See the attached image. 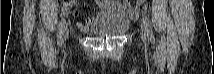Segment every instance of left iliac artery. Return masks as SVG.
<instances>
[{"instance_id":"left-iliac-artery-1","label":"left iliac artery","mask_w":214,"mask_h":74,"mask_svg":"<svg viewBox=\"0 0 214 74\" xmlns=\"http://www.w3.org/2000/svg\"><path fill=\"white\" fill-rule=\"evenodd\" d=\"M144 23L148 27V35H149L150 41L152 42V41H154V35H153L152 28H151V22L147 16H144Z\"/></svg>"}]
</instances>
